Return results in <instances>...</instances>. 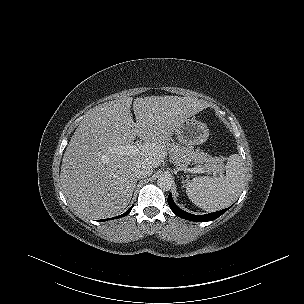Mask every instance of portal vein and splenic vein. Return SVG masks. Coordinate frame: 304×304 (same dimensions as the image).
Returning a JSON list of instances; mask_svg holds the SVG:
<instances>
[{
  "label": "portal vein and splenic vein",
  "instance_id": "obj_1",
  "mask_svg": "<svg viewBox=\"0 0 304 304\" xmlns=\"http://www.w3.org/2000/svg\"><path fill=\"white\" fill-rule=\"evenodd\" d=\"M136 145H133V144H127L125 146H117L115 148V150L119 151L120 153H128L129 151L131 150H134L136 149ZM185 171L189 172V173H204V170L203 168H188L186 169Z\"/></svg>",
  "mask_w": 304,
  "mask_h": 304
}]
</instances>
